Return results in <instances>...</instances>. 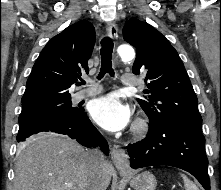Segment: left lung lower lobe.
<instances>
[{"mask_svg":"<svg viewBox=\"0 0 221 190\" xmlns=\"http://www.w3.org/2000/svg\"><path fill=\"white\" fill-rule=\"evenodd\" d=\"M127 150L132 168L174 166L191 173L210 190L203 134L170 120L151 122L146 138L128 145Z\"/></svg>","mask_w":221,"mask_h":190,"instance_id":"0a47b994","label":"left lung lower lobe"}]
</instances>
